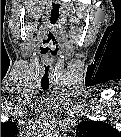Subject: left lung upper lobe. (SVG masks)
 Wrapping results in <instances>:
<instances>
[{
  "mask_svg": "<svg viewBox=\"0 0 121 137\" xmlns=\"http://www.w3.org/2000/svg\"><path fill=\"white\" fill-rule=\"evenodd\" d=\"M77 133L79 135L85 136H102V135H116L118 131L116 129H112V127L102 121H84L81 122L77 127Z\"/></svg>",
  "mask_w": 121,
  "mask_h": 137,
  "instance_id": "obj_1",
  "label": "left lung upper lobe"
}]
</instances>
